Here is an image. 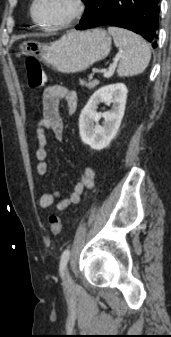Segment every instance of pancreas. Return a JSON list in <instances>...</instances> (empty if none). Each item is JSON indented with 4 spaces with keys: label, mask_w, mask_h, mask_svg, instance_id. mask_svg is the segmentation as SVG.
Segmentation results:
<instances>
[{
    "label": "pancreas",
    "mask_w": 171,
    "mask_h": 337,
    "mask_svg": "<svg viewBox=\"0 0 171 337\" xmlns=\"http://www.w3.org/2000/svg\"><path fill=\"white\" fill-rule=\"evenodd\" d=\"M93 75L89 76V82L84 81L83 79H80V85L81 86H86L88 89H93L94 87H96L99 84V81L97 79L92 80Z\"/></svg>",
    "instance_id": "obj_1"
}]
</instances>
